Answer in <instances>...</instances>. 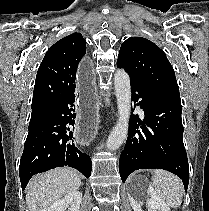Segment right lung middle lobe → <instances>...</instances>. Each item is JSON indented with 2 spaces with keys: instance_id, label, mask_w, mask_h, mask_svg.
<instances>
[{
  "instance_id": "1",
  "label": "right lung middle lobe",
  "mask_w": 209,
  "mask_h": 211,
  "mask_svg": "<svg viewBox=\"0 0 209 211\" xmlns=\"http://www.w3.org/2000/svg\"><path fill=\"white\" fill-rule=\"evenodd\" d=\"M43 111L32 112L29 127L33 125L42 115Z\"/></svg>"
}]
</instances>
